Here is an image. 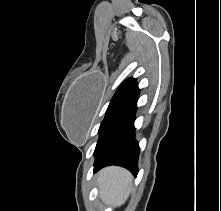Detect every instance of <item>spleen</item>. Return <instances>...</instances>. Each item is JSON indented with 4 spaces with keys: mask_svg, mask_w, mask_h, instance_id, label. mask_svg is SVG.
Masks as SVG:
<instances>
[{
    "mask_svg": "<svg viewBox=\"0 0 221 211\" xmlns=\"http://www.w3.org/2000/svg\"><path fill=\"white\" fill-rule=\"evenodd\" d=\"M132 176L125 169L106 168L100 172L97 185L99 197L106 205L121 206L131 192Z\"/></svg>",
    "mask_w": 221,
    "mask_h": 211,
    "instance_id": "obj_1",
    "label": "spleen"
}]
</instances>
